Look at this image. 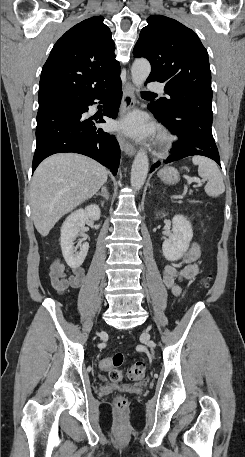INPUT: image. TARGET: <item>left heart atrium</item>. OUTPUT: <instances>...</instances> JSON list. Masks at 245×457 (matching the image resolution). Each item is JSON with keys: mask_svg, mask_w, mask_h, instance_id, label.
I'll list each match as a JSON object with an SVG mask.
<instances>
[{"mask_svg": "<svg viewBox=\"0 0 245 457\" xmlns=\"http://www.w3.org/2000/svg\"><path fill=\"white\" fill-rule=\"evenodd\" d=\"M126 132L134 135H145L149 133L145 117L141 114L128 116L120 125Z\"/></svg>", "mask_w": 245, "mask_h": 457, "instance_id": "left-heart-atrium-1", "label": "left heart atrium"}]
</instances>
